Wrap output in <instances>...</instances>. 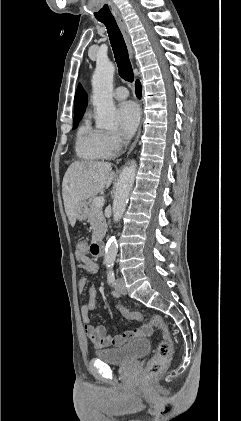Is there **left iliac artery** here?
Listing matches in <instances>:
<instances>
[{"label": "left iliac artery", "instance_id": "left-iliac-artery-1", "mask_svg": "<svg viewBox=\"0 0 241 421\" xmlns=\"http://www.w3.org/2000/svg\"><path fill=\"white\" fill-rule=\"evenodd\" d=\"M107 281L109 284H113L115 281V275L114 272L112 270H109L107 273Z\"/></svg>", "mask_w": 241, "mask_h": 421}]
</instances>
